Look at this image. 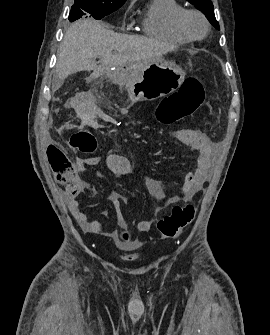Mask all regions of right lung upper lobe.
Here are the masks:
<instances>
[{"mask_svg": "<svg viewBox=\"0 0 270 335\" xmlns=\"http://www.w3.org/2000/svg\"><path fill=\"white\" fill-rule=\"evenodd\" d=\"M101 1L109 3H124L126 0H101Z\"/></svg>", "mask_w": 270, "mask_h": 335, "instance_id": "1", "label": "right lung upper lobe"}]
</instances>
